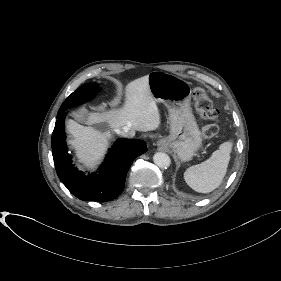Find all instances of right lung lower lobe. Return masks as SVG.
Segmentation results:
<instances>
[{
  "mask_svg": "<svg viewBox=\"0 0 281 281\" xmlns=\"http://www.w3.org/2000/svg\"><path fill=\"white\" fill-rule=\"evenodd\" d=\"M58 116L52 135V154L58 177L68 190L83 201L105 202L117 198L125 186L128 169L133 160L147 151L142 140L119 139L109 149L100 174L85 175L72 163L67 152L64 119Z\"/></svg>",
  "mask_w": 281,
  "mask_h": 281,
  "instance_id": "right-lung-lower-lobe-1",
  "label": "right lung lower lobe"
}]
</instances>
